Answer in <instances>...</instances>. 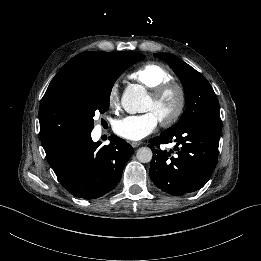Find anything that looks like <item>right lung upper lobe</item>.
Masks as SVG:
<instances>
[{"mask_svg":"<svg viewBox=\"0 0 261 261\" xmlns=\"http://www.w3.org/2000/svg\"><path fill=\"white\" fill-rule=\"evenodd\" d=\"M121 54L84 52L59 70L40 104V136L54 135L62 144L82 135L86 120L80 100L81 85L85 78L114 63Z\"/></svg>","mask_w":261,"mask_h":261,"instance_id":"obj_1","label":"right lung upper lobe"}]
</instances>
